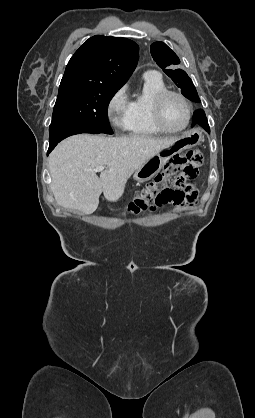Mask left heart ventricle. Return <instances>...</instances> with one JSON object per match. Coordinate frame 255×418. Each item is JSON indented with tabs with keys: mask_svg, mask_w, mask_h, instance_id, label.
Segmentation results:
<instances>
[{
	"mask_svg": "<svg viewBox=\"0 0 255 418\" xmlns=\"http://www.w3.org/2000/svg\"><path fill=\"white\" fill-rule=\"evenodd\" d=\"M163 119L169 128H181L187 119L186 106L175 96L167 98L163 108Z\"/></svg>",
	"mask_w": 255,
	"mask_h": 418,
	"instance_id": "obj_1",
	"label": "left heart ventricle"
}]
</instances>
